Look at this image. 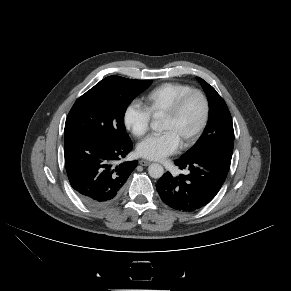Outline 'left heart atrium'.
I'll use <instances>...</instances> for the list:
<instances>
[{
  "label": "left heart atrium",
  "mask_w": 291,
  "mask_h": 291,
  "mask_svg": "<svg viewBox=\"0 0 291 291\" xmlns=\"http://www.w3.org/2000/svg\"><path fill=\"white\" fill-rule=\"evenodd\" d=\"M181 145L173 131H165L159 135H150L137 146L139 156L149 160H161L175 153Z\"/></svg>",
  "instance_id": "obj_1"
}]
</instances>
